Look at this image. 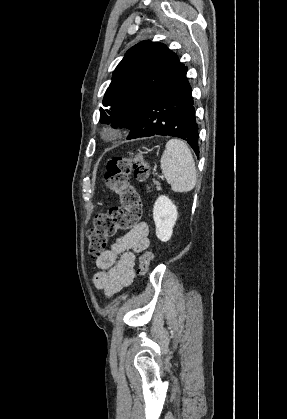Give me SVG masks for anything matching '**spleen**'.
<instances>
[{
	"mask_svg": "<svg viewBox=\"0 0 287 419\" xmlns=\"http://www.w3.org/2000/svg\"><path fill=\"white\" fill-rule=\"evenodd\" d=\"M161 170L174 192H189L197 180L195 162L187 144L170 139L162 154Z\"/></svg>",
	"mask_w": 287,
	"mask_h": 419,
	"instance_id": "3e777b00",
	"label": "spleen"
}]
</instances>
